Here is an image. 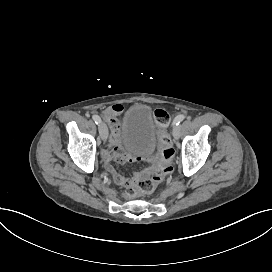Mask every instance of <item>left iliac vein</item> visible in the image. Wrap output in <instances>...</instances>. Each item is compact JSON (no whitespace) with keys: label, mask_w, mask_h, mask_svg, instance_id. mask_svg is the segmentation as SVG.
<instances>
[{"label":"left iliac vein","mask_w":272,"mask_h":272,"mask_svg":"<svg viewBox=\"0 0 272 272\" xmlns=\"http://www.w3.org/2000/svg\"><path fill=\"white\" fill-rule=\"evenodd\" d=\"M172 134H173L174 138H179L180 129H179L178 125L174 127Z\"/></svg>","instance_id":"1"}]
</instances>
